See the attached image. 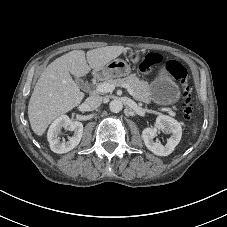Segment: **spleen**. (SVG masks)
Instances as JSON below:
<instances>
[{
	"label": "spleen",
	"mask_w": 227,
	"mask_h": 227,
	"mask_svg": "<svg viewBox=\"0 0 227 227\" xmlns=\"http://www.w3.org/2000/svg\"><path fill=\"white\" fill-rule=\"evenodd\" d=\"M196 132H197V128L194 127L193 133L196 134Z\"/></svg>",
	"instance_id": "1"
}]
</instances>
